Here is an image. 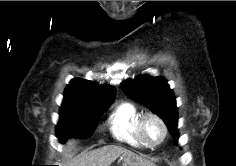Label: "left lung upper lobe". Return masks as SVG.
Listing matches in <instances>:
<instances>
[{
	"instance_id": "left-lung-upper-lobe-1",
	"label": "left lung upper lobe",
	"mask_w": 236,
	"mask_h": 166,
	"mask_svg": "<svg viewBox=\"0 0 236 166\" xmlns=\"http://www.w3.org/2000/svg\"><path fill=\"white\" fill-rule=\"evenodd\" d=\"M123 90L159 115L168 128L177 126L176 100L167 81L162 77L148 75L127 79L121 83Z\"/></svg>"
}]
</instances>
